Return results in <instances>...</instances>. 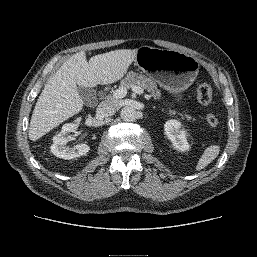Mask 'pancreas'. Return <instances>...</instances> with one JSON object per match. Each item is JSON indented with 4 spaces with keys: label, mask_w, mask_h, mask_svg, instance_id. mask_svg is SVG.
<instances>
[{
    "label": "pancreas",
    "mask_w": 257,
    "mask_h": 257,
    "mask_svg": "<svg viewBox=\"0 0 257 257\" xmlns=\"http://www.w3.org/2000/svg\"><path fill=\"white\" fill-rule=\"evenodd\" d=\"M120 85L125 89H130L133 85H137L151 93V96L155 100L160 99L161 97V93L157 89V83L155 82V80L142 74L129 72L127 76L121 81ZM169 113L175 114L176 112L170 110ZM180 116L182 119H187L188 121L192 120V117L190 115L180 114Z\"/></svg>",
    "instance_id": "1"
}]
</instances>
